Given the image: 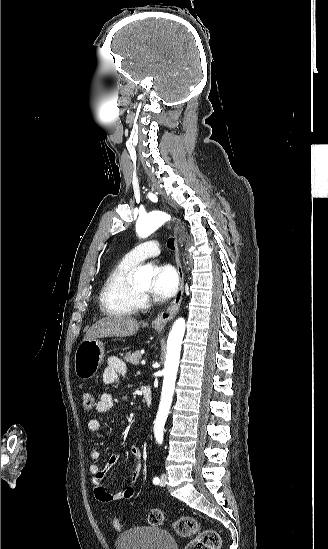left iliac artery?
Listing matches in <instances>:
<instances>
[{
  "mask_svg": "<svg viewBox=\"0 0 328 549\" xmlns=\"http://www.w3.org/2000/svg\"><path fill=\"white\" fill-rule=\"evenodd\" d=\"M159 482H160V480H159L158 477H155V478L153 479V483H154V484H158Z\"/></svg>",
  "mask_w": 328,
  "mask_h": 549,
  "instance_id": "44dca946",
  "label": "left iliac artery"
}]
</instances>
